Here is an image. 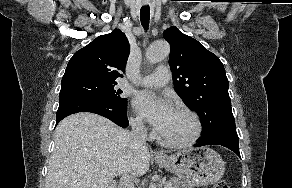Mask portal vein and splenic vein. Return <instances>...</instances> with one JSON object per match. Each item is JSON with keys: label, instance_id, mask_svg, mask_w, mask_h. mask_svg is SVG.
Instances as JSON below:
<instances>
[{"label": "portal vein and splenic vein", "instance_id": "obj_1", "mask_svg": "<svg viewBox=\"0 0 292 188\" xmlns=\"http://www.w3.org/2000/svg\"><path fill=\"white\" fill-rule=\"evenodd\" d=\"M164 188H172V184L168 182V183H166Z\"/></svg>", "mask_w": 292, "mask_h": 188}]
</instances>
